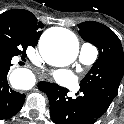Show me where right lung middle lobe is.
Returning a JSON list of instances; mask_svg holds the SVG:
<instances>
[{"label":"right lung middle lobe","mask_w":124,"mask_h":124,"mask_svg":"<svg viewBox=\"0 0 124 124\" xmlns=\"http://www.w3.org/2000/svg\"><path fill=\"white\" fill-rule=\"evenodd\" d=\"M28 46H33L27 36L12 22L0 18V56L12 59L26 54Z\"/></svg>","instance_id":"obj_1"}]
</instances>
